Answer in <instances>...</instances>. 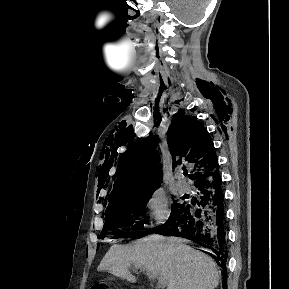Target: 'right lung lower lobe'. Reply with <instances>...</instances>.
I'll return each instance as SVG.
<instances>
[{"instance_id": "1", "label": "right lung lower lobe", "mask_w": 289, "mask_h": 289, "mask_svg": "<svg viewBox=\"0 0 289 289\" xmlns=\"http://www.w3.org/2000/svg\"><path fill=\"white\" fill-rule=\"evenodd\" d=\"M194 185L198 190V199L192 204H181L166 223L149 233L184 237L208 250L209 255L222 269L223 289H225L228 226L218 169L198 178Z\"/></svg>"}]
</instances>
